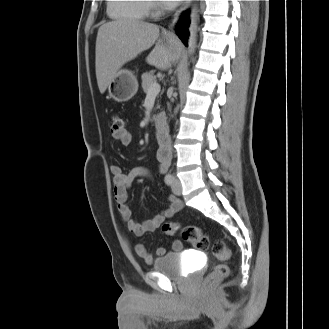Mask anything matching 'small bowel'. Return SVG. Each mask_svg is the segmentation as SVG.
<instances>
[{
	"mask_svg": "<svg viewBox=\"0 0 329 329\" xmlns=\"http://www.w3.org/2000/svg\"><path fill=\"white\" fill-rule=\"evenodd\" d=\"M113 137L122 145L129 146L132 143V135L128 131H124L123 134ZM168 163L162 160L157 165V171L162 174L166 172ZM111 173L113 176V191L114 198L118 206L119 213L124 221L127 222V226L130 232L136 236H142L144 233L156 230L167 218L174 216L181 208L182 202L180 199L174 196L168 197L169 206L161 213L155 215L152 219L138 222L132 219V212L127 205L128 190L132 183L138 178H149V171L144 166H135L124 172L121 166L112 165ZM183 245L181 241L175 240L172 242V249L174 251H181ZM136 254L141 257L146 263H152L154 257L147 250L143 243H137L134 247ZM166 253V249L158 247L156 254L158 256Z\"/></svg>",
	"mask_w": 329,
	"mask_h": 329,
	"instance_id": "small-bowel-1",
	"label": "small bowel"
}]
</instances>
